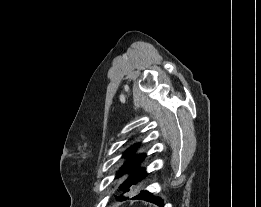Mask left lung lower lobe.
<instances>
[{
	"label": "left lung lower lobe",
	"mask_w": 261,
	"mask_h": 207,
	"mask_svg": "<svg viewBox=\"0 0 261 207\" xmlns=\"http://www.w3.org/2000/svg\"><path fill=\"white\" fill-rule=\"evenodd\" d=\"M132 199H140V200L152 202V203L158 205L159 207L164 206V202L160 197H156L152 193H150L149 191H146V190L141 191L138 195H136Z\"/></svg>",
	"instance_id": "obj_1"
}]
</instances>
